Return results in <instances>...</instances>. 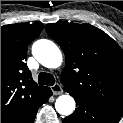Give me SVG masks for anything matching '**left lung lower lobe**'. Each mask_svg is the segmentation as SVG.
Instances as JSON below:
<instances>
[{
    "label": "left lung lower lobe",
    "instance_id": "left-lung-lower-lobe-1",
    "mask_svg": "<svg viewBox=\"0 0 123 123\" xmlns=\"http://www.w3.org/2000/svg\"><path fill=\"white\" fill-rule=\"evenodd\" d=\"M77 105L75 112L62 123H118L122 111L102 103L74 97Z\"/></svg>",
    "mask_w": 123,
    "mask_h": 123
}]
</instances>
